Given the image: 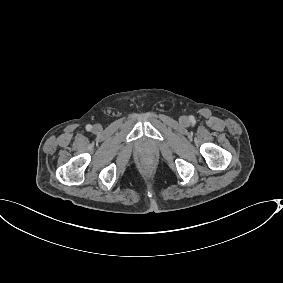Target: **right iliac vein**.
<instances>
[{
	"mask_svg": "<svg viewBox=\"0 0 283 283\" xmlns=\"http://www.w3.org/2000/svg\"><path fill=\"white\" fill-rule=\"evenodd\" d=\"M102 130V126L100 124H95L93 126V132L98 133Z\"/></svg>",
	"mask_w": 283,
	"mask_h": 283,
	"instance_id": "1",
	"label": "right iliac vein"
}]
</instances>
